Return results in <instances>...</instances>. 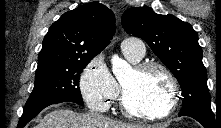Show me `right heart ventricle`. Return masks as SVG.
I'll return each instance as SVG.
<instances>
[{
    "label": "right heart ventricle",
    "mask_w": 221,
    "mask_h": 128,
    "mask_svg": "<svg viewBox=\"0 0 221 128\" xmlns=\"http://www.w3.org/2000/svg\"><path fill=\"white\" fill-rule=\"evenodd\" d=\"M125 58L130 61L131 63H137L139 60H134L133 57L130 54H125L124 53Z\"/></svg>",
    "instance_id": "1"
}]
</instances>
